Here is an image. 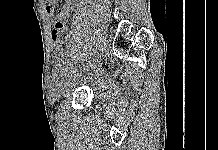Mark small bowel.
<instances>
[{"label":"small bowel","instance_id":"c3829d8e","mask_svg":"<svg viewBox=\"0 0 218 150\" xmlns=\"http://www.w3.org/2000/svg\"><path fill=\"white\" fill-rule=\"evenodd\" d=\"M74 1L75 0H65L63 7L57 13H54L57 0H45L46 10L53 23V31L57 29H64L65 23L73 8Z\"/></svg>","mask_w":218,"mask_h":150}]
</instances>
